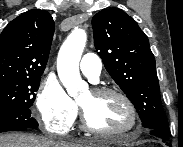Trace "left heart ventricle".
Masks as SVG:
<instances>
[{
  "mask_svg": "<svg viewBox=\"0 0 183 147\" xmlns=\"http://www.w3.org/2000/svg\"><path fill=\"white\" fill-rule=\"evenodd\" d=\"M79 104L85 109L93 126L102 130H124L131 124L126 104L117 96H96L88 91Z\"/></svg>",
  "mask_w": 183,
  "mask_h": 147,
  "instance_id": "left-heart-ventricle-1",
  "label": "left heart ventricle"
}]
</instances>
